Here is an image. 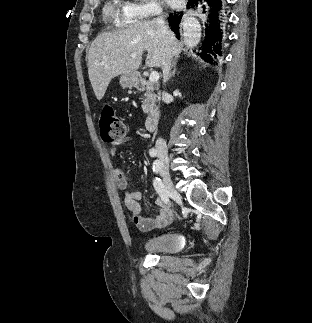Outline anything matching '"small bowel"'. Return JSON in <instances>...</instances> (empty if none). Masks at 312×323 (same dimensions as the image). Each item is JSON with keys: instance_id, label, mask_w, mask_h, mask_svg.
Segmentation results:
<instances>
[{"instance_id": "1", "label": "small bowel", "mask_w": 312, "mask_h": 323, "mask_svg": "<svg viewBox=\"0 0 312 323\" xmlns=\"http://www.w3.org/2000/svg\"><path fill=\"white\" fill-rule=\"evenodd\" d=\"M126 141H128V138L120 140L118 144ZM116 152L117 147L115 145L109 149V153L111 155H115ZM112 173L117 186L123 192L124 205L130 211L132 215V222L135 224L138 230L142 232H152L154 230L163 228L172 222L173 209L170 205L163 203L161 200L157 201V204L160 207V211L157 216H142L141 207L138 202L141 198L140 192L128 190V178L120 168L113 167Z\"/></svg>"}]
</instances>
